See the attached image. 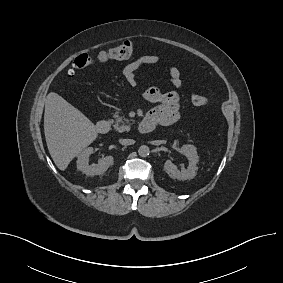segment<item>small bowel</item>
Here are the masks:
<instances>
[{
  "mask_svg": "<svg viewBox=\"0 0 283 283\" xmlns=\"http://www.w3.org/2000/svg\"><path fill=\"white\" fill-rule=\"evenodd\" d=\"M160 60L158 55H144L127 64L122 70L123 78L132 86H135L137 71L147 65H154ZM170 82L175 88L182 85L180 70L176 67L169 69ZM143 97L155 106L147 113L146 117L154 126L171 125L180 118V99L175 91L162 92L157 87L145 90Z\"/></svg>",
  "mask_w": 283,
  "mask_h": 283,
  "instance_id": "small-bowel-1",
  "label": "small bowel"
}]
</instances>
